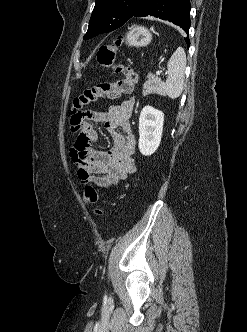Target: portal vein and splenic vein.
<instances>
[{
  "instance_id": "portal-vein-and-splenic-vein-1",
  "label": "portal vein and splenic vein",
  "mask_w": 247,
  "mask_h": 332,
  "mask_svg": "<svg viewBox=\"0 0 247 332\" xmlns=\"http://www.w3.org/2000/svg\"><path fill=\"white\" fill-rule=\"evenodd\" d=\"M161 73H162L161 70H159V71L156 72L157 75H160Z\"/></svg>"
}]
</instances>
